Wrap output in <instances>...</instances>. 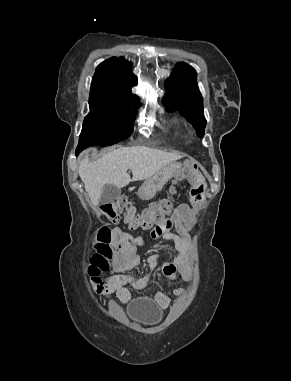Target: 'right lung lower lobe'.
I'll use <instances>...</instances> for the list:
<instances>
[{"mask_svg": "<svg viewBox=\"0 0 291 381\" xmlns=\"http://www.w3.org/2000/svg\"><path fill=\"white\" fill-rule=\"evenodd\" d=\"M82 150H83V149L77 147V149H76V156H77Z\"/></svg>", "mask_w": 291, "mask_h": 381, "instance_id": "obj_1", "label": "right lung lower lobe"}]
</instances>
